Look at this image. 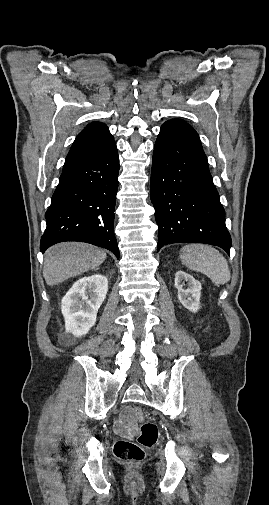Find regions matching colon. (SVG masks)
I'll use <instances>...</instances> for the list:
<instances>
[{
    "instance_id": "colon-1",
    "label": "colon",
    "mask_w": 269,
    "mask_h": 505,
    "mask_svg": "<svg viewBox=\"0 0 269 505\" xmlns=\"http://www.w3.org/2000/svg\"><path fill=\"white\" fill-rule=\"evenodd\" d=\"M132 419L142 422L136 441L119 440L114 445L115 457L128 463H136L143 460L145 449L152 447L158 438L157 425L149 421L144 422V416L140 409L133 408Z\"/></svg>"
}]
</instances>
